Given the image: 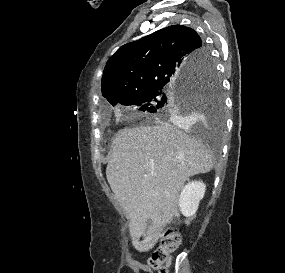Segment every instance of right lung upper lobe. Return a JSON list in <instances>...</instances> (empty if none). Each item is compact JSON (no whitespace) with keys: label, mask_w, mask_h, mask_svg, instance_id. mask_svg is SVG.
I'll use <instances>...</instances> for the list:
<instances>
[{"label":"right lung upper lobe","mask_w":285,"mask_h":273,"mask_svg":"<svg viewBox=\"0 0 285 273\" xmlns=\"http://www.w3.org/2000/svg\"><path fill=\"white\" fill-rule=\"evenodd\" d=\"M206 47L189 27L172 25L120 47L104 69L102 95L112 105L201 72Z\"/></svg>","instance_id":"1"}]
</instances>
